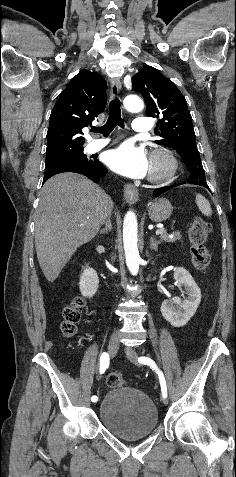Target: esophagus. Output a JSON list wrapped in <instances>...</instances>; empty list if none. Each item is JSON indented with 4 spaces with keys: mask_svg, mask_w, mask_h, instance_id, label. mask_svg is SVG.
<instances>
[{
    "mask_svg": "<svg viewBox=\"0 0 236 477\" xmlns=\"http://www.w3.org/2000/svg\"><path fill=\"white\" fill-rule=\"evenodd\" d=\"M121 89V82L117 78L111 80L110 95L114 99L118 96ZM124 199L127 203L133 204L139 199V192L132 184H125L123 190Z\"/></svg>",
    "mask_w": 236,
    "mask_h": 477,
    "instance_id": "obj_1",
    "label": "esophagus"
}]
</instances>
